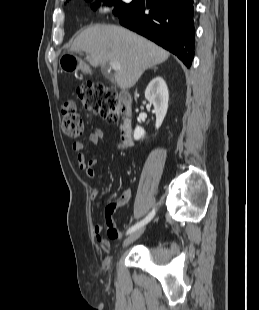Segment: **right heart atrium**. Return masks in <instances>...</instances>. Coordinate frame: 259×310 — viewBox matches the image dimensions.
Instances as JSON below:
<instances>
[{"label":"right heart atrium","instance_id":"obj_1","mask_svg":"<svg viewBox=\"0 0 259 310\" xmlns=\"http://www.w3.org/2000/svg\"><path fill=\"white\" fill-rule=\"evenodd\" d=\"M91 9L97 14H107L112 11L113 4L110 0H92Z\"/></svg>","mask_w":259,"mask_h":310}]
</instances>
